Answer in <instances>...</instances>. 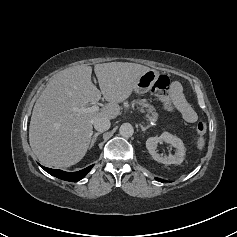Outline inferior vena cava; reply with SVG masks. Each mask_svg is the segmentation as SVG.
Wrapping results in <instances>:
<instances>
[{"instance_id":"602c4592","label":"inferior vena cava","mask_w":237,"mask_h":237,"mask_svg":"<svg viewBox=\"0 0 237 237\" xmlns=\"http://www.w3.org/2000/svg\"><path fill=\"white\" fill-rule=\"evenodd\" d=\"M94 128L99 132H104L110 128V119L107 117L96 118L93 122Z\"/></svg>"}]
</instances>
